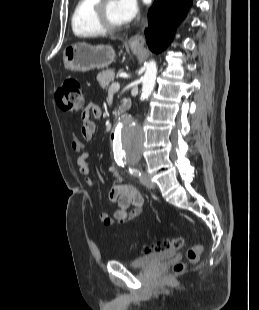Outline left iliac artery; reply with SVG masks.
<instances>
[{"label":"left iliac artery","mask_w":259,"mask_h":310,"mask_svg":"<svg viewBox=\"0 0 259 310\" xmlns=\"http://www.w3.org/2000/svg\"><path fill=\"white\" fill-rule=\"evenodd\" d=\"M135 174L138 175V172L136 171Z\"/></svg>","instance_id":"left-iliac-artery-1"}]
</instances>
